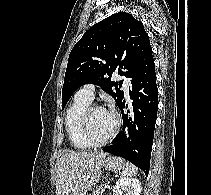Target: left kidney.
Returning a JSON list of instances; mask_svg holds the SVG:
<instances>
[{"instance_id": "obj_1", "label": "left kidney", "mask_w": 211, "mask_h": 195, "mask_svg": "<svg viewBox=\"0 0 211 195\" xmlns=\"http://www.w3.org/2000/svg\"><path fill=\"white\" fill-rule=\"evenodd\" d=\"M140 192L141 182L137 178L130 177L118 179L113 189V195H140Z\"/></svg>"}]
</instances>
